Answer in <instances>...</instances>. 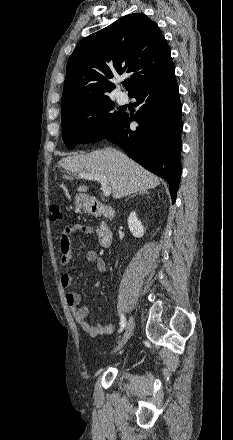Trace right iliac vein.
<instances>
[{"label":"right iliac vein","instance_id":"obj_1","mask_svg":"<svg viewBox=\"0 0 233 440\" xmlns=\"http://www.w3.org/2000/svg\"><path fill=\"white\" fill-rule=\"evenodd\" d=\"M134 327H135L134 318L130 317L129 320H128V323L126 325L124 335H123L122 339L119 341L118 345L113 350V352H118L120 349L123 348V346L126 344V342L132 336L133 331H134Z\"/></svg>","mask_w":233,"mask_h":440}]
</instances>
